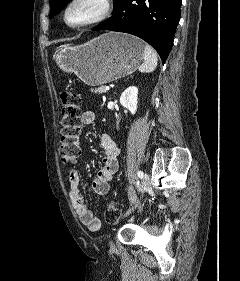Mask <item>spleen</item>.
<instances>
[{"instance_id": "1", "label": "spleen", "mask_w": 240, "mask_h": 281, "mask_svg": "<svg viewBox=\"0 0 240 281\" xmlns=\"http://www.w3.org/2000/svg\"><path fill=\"white\" fill-rule=\"evenodd\" d=\"M144 61L142 65L139 66V71L142 73L153 72L158 64V57L156 51L148 44L144 48Z\"/></svg>"}]
</instances>
